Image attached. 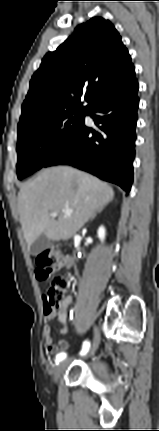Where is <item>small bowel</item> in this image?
Segmentation results:
<instances>
[{
    "label": "small bowel",
    "mask_w": 159,
    "mask_h": 431,
    "mask_svg": "<svg viewBox=\"0 0 159 431\" xmlns=\"http://www.w3.org/2000/svg\"><path fill=\"white\" fill-rule=\"evenodd\" d=\"M71 261L69 257H65L58 265V267H70ZM72 303V298L67 296L61 303L59 311L57 313V319L61 324L60 333L67 334L68 326H67V309L69 305ZM44 345L47 351L50 354H60L66 351L69 347L68 341L61 339L56 344L53 343V338L51 335V327L48 324H45L42 329Z\"/></svg>",
    "instance_id": "1"
}]
</instances>
